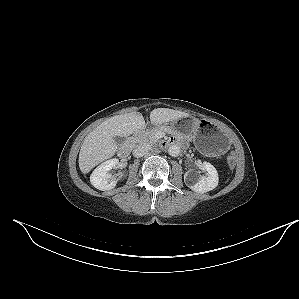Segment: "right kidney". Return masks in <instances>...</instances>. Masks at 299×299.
Returning <instances> with one entry per match:
<instances>
[{"label": "right kidney", "mask_w": 299, "mask_h": 299, "mask_svg": "<svg viewBox=\"0 0 299 299\" xmlns=\"http://www.w3.org/2000/svg\"><path fill=\"white\" fill-rule=\"evenodd\" d=\"M118 163L119 160L113 158L100 164L90 176L91 184L101 191L113 189L116 186L117 181L113 179L109 171L112 168H115Z\"/></svg>", "instance_id": "obj_1"}]
</instances>
